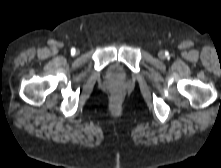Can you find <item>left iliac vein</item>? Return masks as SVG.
I'll list each match as a JSON object with an SVG mask.
<instances>
[{"label":"left iliac vein","instance_id":"4c4485c4","mask_svg":"<svg viewBox=\"0 0 221 168\" xmlns=\"http://www.w3.org/2000/svg\"><path fill=\"white\" fill-rule=\"evenodd\" d=\"M158 55H159V57H160L161 59L165 58V54H164V52H162V51H161V52H159V54H158Z\"/></svg>","mask_w":221,"mask_h":168}]
</instances>
